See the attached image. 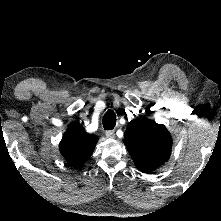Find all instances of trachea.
I'll use <instances>...</instances> for the list:
<instances>
[{"label":"trachea","instance_id":"3493384b","mask_svg":"<svg viewBox=\"0 0 221 221\" xmlns=\"http://www.w3.org/2000/svg\"><path fill=\"white\" fill-rule=\"evenodd\" d=\"M103 127L105 130H111L116 125V116L112 110H108L102 120Z\"/></svg>","mask_w":221,"mask_h":221}]
</instances>
